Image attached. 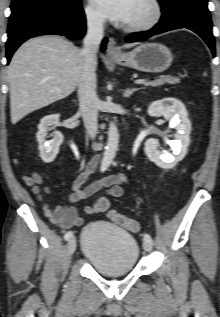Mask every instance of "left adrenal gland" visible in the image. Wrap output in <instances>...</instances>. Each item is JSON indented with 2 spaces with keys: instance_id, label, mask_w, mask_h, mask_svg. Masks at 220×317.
<instances>
[{
  "instance_id": "a2214340",
  "label": "left adrenal gland",
  "mask_w": 220,
  "mask_h": 317,
  "mask_svg": "<svg viewBox=\"0 0 220 317\" xmlns=\"http://www.w3.org/2000/svg\"><path fill=\"white\" fill-rule=\"evenodd\" d=\"M139 90L138 88H127L123 91V97L129 98L135 91Z\"/></svg>"
}]
</instances>
